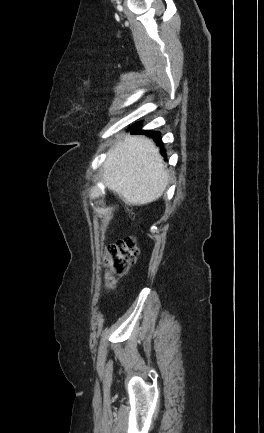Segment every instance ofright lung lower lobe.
<instances>
[{"mask_svg":"<svg viewBox=\"0 0 264 433\" xmlns=\"http://www.w3.org/2000/svg\"><path fill=\"white\" fill-rule=\"evenodd\" d=\"M131 131L132 132H142V133H145L148 136H152L155 141H161L160 133L159 132L141 131V127H140L139 124H136L133 127H131Z\"/></svg>","mask_w":264,"mask_h":433,"instance_id":"obj_1","label":"right lung lower lobe"}]
</instances>
